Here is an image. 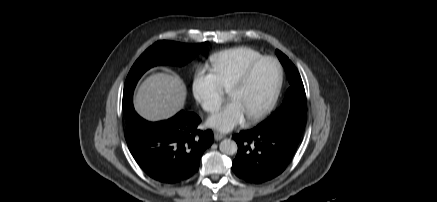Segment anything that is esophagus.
Returning a JSON list of instances; mask_svg holds the SVG:
<instances>
[{
	"mask_svg": "<svg viewBox=\"0 0 437 202\" xmlns=\"http://www.w3.org/2000/svg\"><path fill=\"white\" fill-rule=\"evenodd\" d=\"M224 137H225V135H223V134H221L219 132H215L214 133V138H215L216 141H219V140L223 139Z\"/></svg>",
	"mask_w": 437,
	"mask_h": 202,
	"instance_id": "obj_1",
	"label": "esophagus"
}]
</instances>
